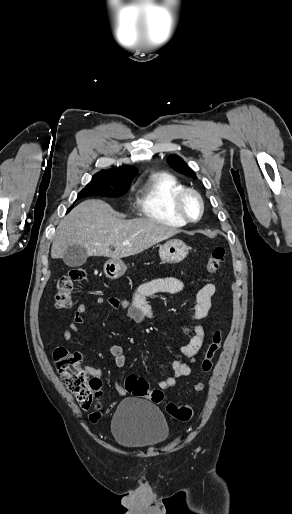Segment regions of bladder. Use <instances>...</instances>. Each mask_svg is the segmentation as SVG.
Listing matches in <instances>:
<instances>
[{
  "instance_id": "31cf9c89",
  "label": "bladder",
  "mask_w": 292,
  "mask_h": 514,
  "mask_svg": "<svg viewBox=\"0 0 292 514\" xmlns=\"http://www.w3.org/2000/svg\"><path fill=\"white\" fill-rule=\"evenodd\" d=\"M111 429L116 442L130 449L157 446L170 435L168 422L161 410L138 398H128L119 404Z\"/></svg>"
}]
</instances>
